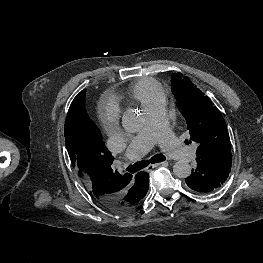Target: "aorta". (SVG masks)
Segmentation results:
<instances>
[{
  "label": "aorta",
  "instance_id": "762f6f07",
  "mask_svg": "<svg viewBox=\"0 0 263 263\" xmlns=\"http://www.w3.org/2000/svg\"><path fill=\"white\" fill-rule=\"evenodd\" d=\"M122 125L126 132L136 133L143 128L144 118L138 111L129 109L123 114ZM173 173L179 178H186L191 173V166L188 162L179 160L173 165Z\"/></svg>",
  "mask_w": 263,
  "mask_h": 263
}]
</instances>
